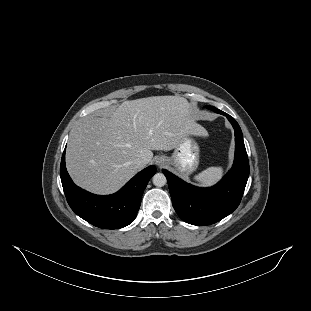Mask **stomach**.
I'll use <instances>...</instances> for the list:
<instances>
[{"instance_id":"obj_1","label":"stomach","mask_w":311,"mask_h":311,"mask_svg":"<svg viewBox=\"0 0 311 311\" xmlns=\"http://www.w3.org/2000/svg\"><path fill=\"white\" fill-rule=\"evenodd\" d=\"M199 162V149L196 142L191 138L184 140L175 148L171 163L181 175L193 172Z\"/></svg>"}]
</instances>
